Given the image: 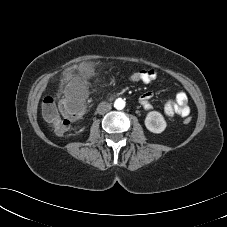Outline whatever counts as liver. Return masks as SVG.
Here are the masks:
<instances>
[{
  "mask_svg": "<svg viewBox=\"0 0 227 227\" xmlns=\"http://www.w3.org/2000/svg\"><path fill=\"white\" fill-rule=\"evenodd\" d=\"M83 68H85V67H83ZM77 81V79L76 80H74V81H71L70 82V84H69V88L74 84V82H76Z\"/></svg>",
  "mask_w": 227,
  "mask_h": 227,
  "instance_id": "obj_1",
  "label": "liver"
}]
</instances>
